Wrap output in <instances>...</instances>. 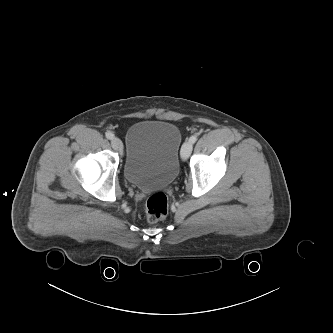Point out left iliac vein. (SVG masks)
I'll return each mask as SVG.
<instances>
[{
    "instance_id": "4c4485c4",
    "label": "left iliac vein",
    "mask_w": 333,
    "mask_h": 333,
    "mask_svg": "<svg viewBox=\"0 0 333 333\" xmlns=\"http://www.w3.org/2000/svg\"><path fill=\"white\" fill-rule=\"evenodd\" d=\"M192 148H193V145L191 142H185L183 145H182V148H181V151H180V154H181V158L183 160H187L188 157L190 156L191 152H192Z\"/></svg>"
}]
</instances>
